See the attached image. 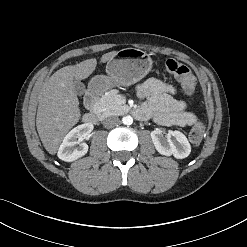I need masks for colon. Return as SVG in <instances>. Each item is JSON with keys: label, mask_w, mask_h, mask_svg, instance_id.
Segmentation results:
<instances>
[{"label": "colon", "mask_w": 247, "mask_h": 247, "mask_svg": "<svg viewBox=\"0 0 247 247\" xmlns=\"http://www.w3.org/2000/svg\"><path fill=\"white\" fill-rule=\"evenodd\" d=\"M166 70L174 75L181 83L185 93L193 96L196 92V79L189 67L174 59L166 61ZM205 133V126L202 122H196L189 133L192 143L198 144L202 141Z\"/></svg>", "instance_id": "obj_1"}]
</instances>
